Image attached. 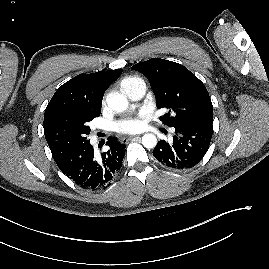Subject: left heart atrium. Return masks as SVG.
I'll return each instance as SVG.
<instances>
[{
	"mask_svg": "<svg viewBox=\"0 0 269 269\" xmlns=\"http://www.w3.org/2000/svg\"><path fill=\"white\" fill-rule=\"evenodd\" d=\"M141 128V121L139 118L125 119L116 124V131L121 134H131L139 131Z\"/></svg>",
	"mask_w": 269,
	"mask_h": 269,
	"instance_id": "39dd6f15",
	"label": "left heart atrium"
}]
</instances>
